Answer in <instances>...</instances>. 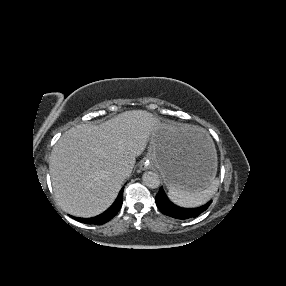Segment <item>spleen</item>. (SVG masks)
Here are the masks:
<instances>
[{"mask_svg":"<svg viewBox=\"0 0 286 286\" xmlns=\"http://www.w3.org/2000/svg\"><path fill=\"white\" fill-rule=\"evenodd\" d=\"M219 180L215 179L204 190L190 192L171 186L168 191L169 199L182 207H197L206 203L217 191Z\"/></svg>","mask_w":286,"mask_h":286,"instance_id":"obj_1","label":"spleen"}]
</instances>
